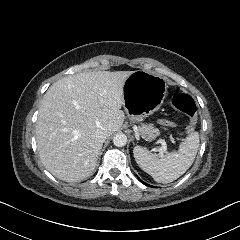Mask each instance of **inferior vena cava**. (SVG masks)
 <instances>
[{
  "instance_id": "inferior-vena-cava-1",
  "label": "inferior vena cava",
  "mask_w": 240,
  "mask_h": 240,
  "mask_svg": "<svg viewBox=\"0 0 240 240\" xmlns=\"http://www.w3.org/2000/svg\"><path fill=\"white\" fill-rule=\"evenodd\" d=\"M108 136L109 132L105 128H100L96 131V138L102 142H104Z\"/></svg>"
}]
</instances>
